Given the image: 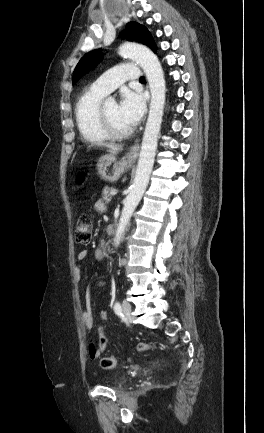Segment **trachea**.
Returning <instances> with one entry per match:
<instances>
[{
  "instance_id": "obj_1",
  "label": "trachea",
  "mask_w": 264,
  "mask_h": 433,
  "mask_svg": "<svg viewBox=\"0 0 264 433\" xmlns=\"http://www.w3.org/2000/svg\"><path fill=\"white\" fill-rule=\"evenodd\" d=\"M140 81H145L144 76H141V77H140Z\"/></svg>"
}]
</instances>
